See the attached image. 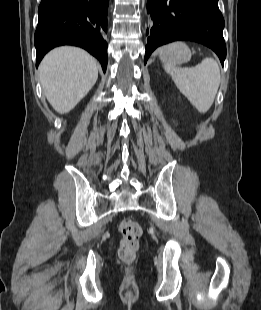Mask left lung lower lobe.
<instances>
[{"instance_id":"left-lung-lower-lobe-1","label":"left lung lower lobe","mask_w":261,"mask_h":310,"mask_svg":"<svg viewBox=\"0 0 261 310\" xmlns=\"http://www.w3.org/2000/svg\"><path fill=\"white\" fill-rule=\"evenodd\" d=\"M153 25L147 29L144 63L159 46L176 40H191L211 48L224 63V19L218 0H147Z\"/></svg>"}]
</instances>
